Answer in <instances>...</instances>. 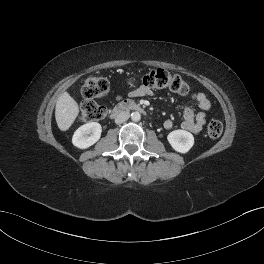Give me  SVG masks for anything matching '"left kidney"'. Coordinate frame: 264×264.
Returning a JSON list of instances; mask_svg holds the SVG:
<instances>
[{
  "instance_id": "1",
  "label": "left kidney",
  "mask_w": 264,
  "mask_h": 264,
  "mask_svg": "<svg viewBox=\"0 0 264 264\" xmlns=\"http://www.w3.org/2000/svg\"><path fill=\"white\" fill-rule=\"evenodd\" d=\"M171 147L179 153H187L194 145L193 135L185 130H174L167 136Z\"/></svg>"
}]
</instances>
